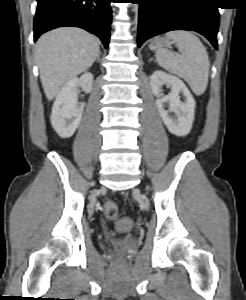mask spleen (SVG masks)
<instances>
[{
  "label": "spleen",
  "mask_w": 246,
  "mask_h": 300,
  "mask_svg": "<svg viewBox=\"0 0 246 300\" xmlns=\"http://www.w3.org/2000/svg\"><path fill=\"white\" fill-rule=\"evenodd\" d=\"M172 39L181 53L159 48L156 51L157 63L168 72L184 79L195 95H202L208 85L209 57L200 39L189 31L176 30L166 34Z\"/></svg>",
  "instance_id": "1"
}]
</instances>
